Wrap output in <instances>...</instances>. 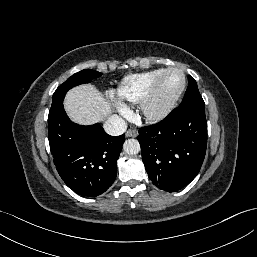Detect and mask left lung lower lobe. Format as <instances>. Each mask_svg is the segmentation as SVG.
<instances>
[{
	"label": "left lung lower lobe",
	"instance_id": "0a47b994",
	"mask_svg": "<svg viewBox=\"0 0 257 257\" xmlns=\"http://www.w3.org/2000/svg\"><path fill=\"white\" fill-rule=\"evenodd\" d=\"M142 160L153 184L175 192L199 173L207 147L205 108H175L162 121L139 129Z\"/></svg>",
	"mask_w": 257,
	"mask_h": 257
}]
</instances>
